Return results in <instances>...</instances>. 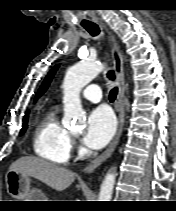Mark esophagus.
<instances>
[{"mask_svg": "<svg viewBox=\"0 0 176 211\" xmlns=\"http://www.w3.org/2000/svg\"><path fill=\"white\" fill-rule=\"evenodd\" d=\"M108 35L109 39L112 43V58H113V64L116 72L117 77V84H118V94H117V100H116V109L118 112V129L115 134V137L113 138L112 142L108 146V148L97 158H95L93 161L89 163V165L84 169V173L89 174L92 171H94L98 166H100L104 161H106L113 151L115 150L117 144L119 143V140L121 138L124 123H125V106H124V95H125V79H124V61H123V55L121 53L120 47L118 42L116 41L115 37L111 34V32L106 28V26L102 25Z\"/></svg>", "mask_w": 176, "mask_h": 211, "instance_id": "obj_1", "label": "esophagus"}]
</instances>
